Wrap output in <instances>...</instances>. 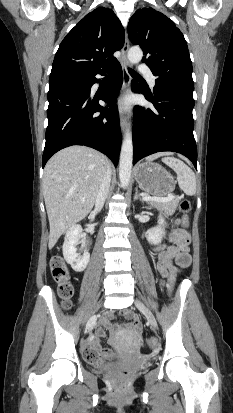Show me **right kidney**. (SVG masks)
Returning a JSON list of instances; mask_svg holds the SVG:
<instances>
[{"instance_id": "ca27d5eb", "label": "right kidney", "mask_w": 233, "mask_h": 413, "mask_svg": "<svg viewBox=\"0 0 233 413\" xmlns=\"http://www.w3.org/2000/svg\"><path fill=\"white\" fill-rule=\"evenodd\" d=\"M81 232L82 228L80 225H73L67 230L63 244V256L76 272L84 271L90 259V253L87 249L84 251L83 256L76 252V245L79 243Z\"/></svg>"}]
</instances>
